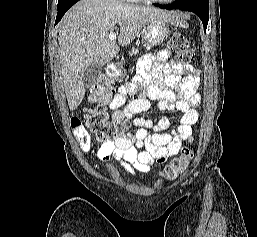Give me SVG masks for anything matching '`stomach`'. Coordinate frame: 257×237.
I'll use <instances>...</instances> for the list:
<instances>
[{
  "mask_svg": "<svg viewBox=\"0 0 257 237\" xmlns=\"http://www.w3.org/2000/svg\"><path fill=\"white\" fill-rule=\"evenodd\" d=\"M170 34L167 21L154 19L146 23L143 29V41L148 48H152L165 41Z\"/></svg>",
  "mask_w": 257,
  "mask_h": 237,
  "instance_id": "0dacf381",
  "label": "stomach"
}]
</instances>
